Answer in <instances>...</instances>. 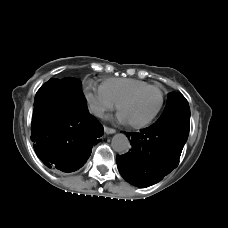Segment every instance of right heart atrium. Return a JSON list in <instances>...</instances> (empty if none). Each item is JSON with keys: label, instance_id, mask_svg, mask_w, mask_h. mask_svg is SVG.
Here are the masks:
<instances>
[{"label": "right heart atrium", "instance_id": "right-heart-atrium-1", "mask_svg": "<svg viewBox=\"0 0 228 228\" xmlns=\"http://www.w3.org/2000/svg\"><path fill=\"white\" fill-rule=\"evenodd\" d=\"M85 97L92 112L98 116L114 108V103L105 95L101 87L94 89L91 85H87Z\"/></svg>", "mask_w": 228, "mask_h": 228}]
</instances>
